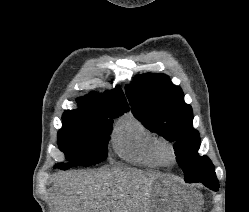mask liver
<instances>
[{
  "label": "liver",
  "instance_id": "6515ba94",
  "mask_svg": "<svg viewBox=\"0 0 249 212\" xmlns=\"http://www.w3.org/2000/svg\"><path fill=\"white\" fill-rule=\"evenodd\" d=\"M165 174L133 168L73 170L53 180L56 212H151L152 188Z\"/></svg>",
  "mask_w": 249,
  "mask_h": 212
}]
</instances>
